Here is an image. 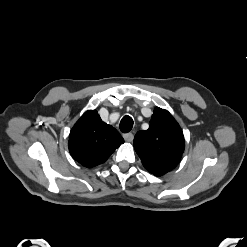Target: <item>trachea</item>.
Listing matches in <instances>:
<instances>
[{"mask_svg":"<svg viewBox=\"0 0 247 247\" xmlns=\"http://www.w3.org/2000/svg\"><path fill=\"white\" fill-rule=\"evenodd\" d=\"M119 127L121 132L128 133L133 127V119L130 116H124Z\"/></svg>","mask_w":247,"mask_h":247,"instance_id":"trachea-1","label":"trachea"}]
</instances>
